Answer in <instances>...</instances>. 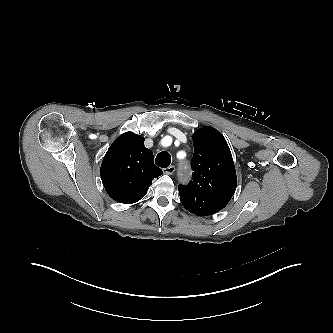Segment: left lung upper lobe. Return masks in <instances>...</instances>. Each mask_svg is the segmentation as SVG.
I'll list each match as a JSON object with an SVG mask.
<instances>
[{
	"label": "left lung upper lobe",
	"mask_w": 333,
	"mask_h": 333,
	"mask_svg": "<svg viewBox=\"0 0 333 333\" xmlns=\"http://www.w3.org/2000/svg\"><path fill=\"white\" fill-rule=\"evenodd\" d=\"M192 181L178 185L183 206L197 216L222 210L232 198L237 176L231 151L223 135L213 127L193 134Z\"/></svg>",
	"instance_id": "1"
}]
</instances>
